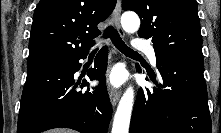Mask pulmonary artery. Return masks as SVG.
Masks as SVG:
<instances>
[{
	"label": "pulmonary artery",
	"instance_id": "1",
	"mask_svg": "<svg viewBox=\"0 0 221 133\" xmlns=\"http://www.w3.org/2000/svg\"><path fill=\"white\" fill-rule=\"evenodd\" d=\"M133 48L136 50L143 51L147 55L150 63L153 66H156L157 59H156L155 50L152 47V45H150L149 43H147L145 41L136 40L133 42Z\"/></svg>",
	"mask_w": 221,
	"mask_h": 133
}]
</instances>
